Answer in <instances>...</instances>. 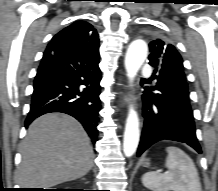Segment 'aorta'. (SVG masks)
<instances>
[{
  "label": "aorta",
  "mask_w": 218,
  "mask_h": 191,
  "mask_svg": "<svg viewBox=\"0 0 218 191\" xmlns=\"http://www.w3.org/2000/svg\"><path fill=\"white\" fill-rule=\"evenodd\" d=\"M147 54L148 47L144 41L135 40L129 45L125 56V69L130 83L134 81V78L146 59ZM139 137L140 130L138 114L131 106L126 119L124 131L123 152L125 156L130 157L136 152Z\"/></svg>",
  "instance_id": "obj_1"
}]
</instances>
